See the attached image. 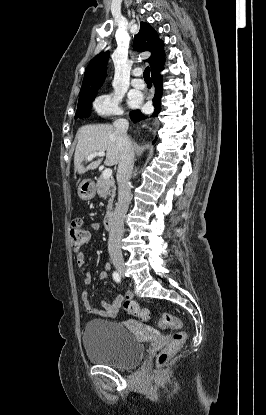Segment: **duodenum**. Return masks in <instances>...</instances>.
I'll use <instances>...</instances> for the list:
<instances>
[{
    "label": "duodenum",
    "mask_w": 266,
    "mask_h": 415,
    "mask_svg": "<svg viewBox=\"0 0 266 415\" xmlns=\"http://www.w3.org/2000/svg\"><path fill=\"white\" fill-rule=\"evenodd\" d=\"M103 224L107 230H111L113 228L114 214L112 212L106 214V216L104 217Z\"/></svg>",
    "instance_id": "duodenum-1"
}]
</instances>
